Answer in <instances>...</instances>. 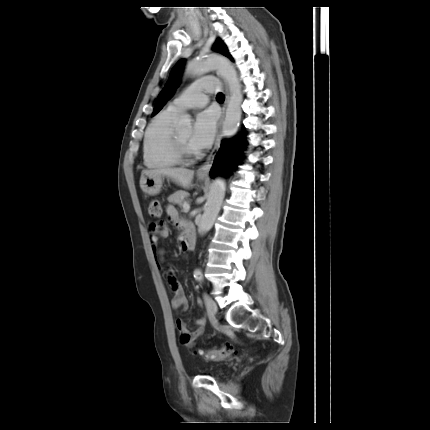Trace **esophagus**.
I'll return each mask as SVG.
<instances>
[{"instance_id": "1", "label": "esophagus", "mask_w": 430, "mask_h": 430, "mask_svg": "<svg viewBox=\"0 0 430 430\" xmlns=\"http://www.w3.org/2000/svg\"><path fill=\"white\" fill-rule=\"evenodd\" d=\"M225 97H226V99H225V103H224L223 109H222L223 110V112H222L223 115H222L221 121H220V123L218 125V131H217V136H216L214 147H213L210 155L208 156L206 162L203 165H201L198 168V170H197V174L200 175V176H207L208 175V173H209V171H210V169H211V167L213 165L214 159H215V157H216V155H217V153L219 151L220 145H221V138H222L221 126H222V123H223V120H224L226 106H227V102H228V99H229L228 88H227L226 83H225Z\"/></svg>"}]
</instances>
